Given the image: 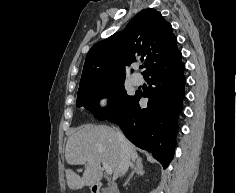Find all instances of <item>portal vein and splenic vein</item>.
I'll list each match as a JSON object with an SVG mask.
<instances>
[{"label":"portal vein and splenic vein","instance_id":"1","mask_svg":"<svg viewBox=\"0 0 237 193\" xmlns=\"http://www.w3.org/2000/svg\"><path fill=\"white\" fill-rule=\"evenodd\" d=\"M103 168L105 169L106 173L108 175H112L113 171L112 168L106 163V162H102Z\"/></svg>","mask_w":237,"mask_h":193}]
</instances>
